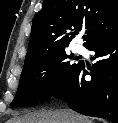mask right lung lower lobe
Segmentation results:
<instances>
[{
    "mask_svg": "<svg viewBox=\"0 0 118 123\" xmlns=\"http://www.w3.org/2000/svg\"><path fill=\"white\" fill-rule=\"evenodd\" d=\"M97 62L90 72L81 63L72 78L52 97L68 102L86 116L101 117L118 123V34L102 39L88 48ZM91 80L86 81L85 75Z\"/></svg>",
    "mask_w": 118,
    "mask_h": 123,
    "instance_id": "98d812e1",
    "label": "right lung lower lobe"
}]
</instances>
